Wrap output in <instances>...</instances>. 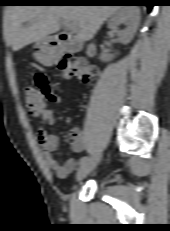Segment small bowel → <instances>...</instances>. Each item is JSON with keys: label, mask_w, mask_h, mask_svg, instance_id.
Returning a JSON list of instances; mask_svg holds the SVG:
<instances>
[{"label": "small bowel", "mask_w": 170, "mask_h": 231, "mask_svg": "<svg viewBox=\"0 0 170 231\" xmlns=\"http://www.w3.org/2000/svg\"><path fill=\"white\" fill-rule=\"evenodd\" d=\"M37 88L44 94L45 98L51 102H60V98L53 93V87L49 83L47 76L43 73H37L34 77ZM42 124L54 125L56 115L53 110L44 109L39 115ZM38 140L41 146L42 159L45 166L55 172L60 178L67 177L74 169L76 161L73 157H68L64 163H60L55 157L54 152L60 145L59 136L55 133L48 134L43 126L37 129ZM86 147V139L82 134L72 139L71 149L74 153L83 151Z\"/></svg>", "instance_id": "c3829d8e"}]
</instances>
